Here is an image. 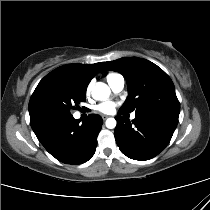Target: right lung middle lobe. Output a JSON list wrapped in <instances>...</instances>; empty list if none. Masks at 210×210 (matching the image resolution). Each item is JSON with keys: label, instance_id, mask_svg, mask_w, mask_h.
<instances>
[{"label": "right lung middle lobe", "instance_id": "dd1d6c3e", "mask_svg": "<svg viewBox=\"0 0 210 210\" xmlns=\"http://www.w3.org/2000/svg\"><path fill=\"white\" fill-rule=\"evenodd\" d=\"M86 100V88L67 81L43 85L31 97L29 113L31 127L52 118L70 115L71 109Z\"/></svg>", "mask_w": 210, "mask_h": 210}]
</instances>
